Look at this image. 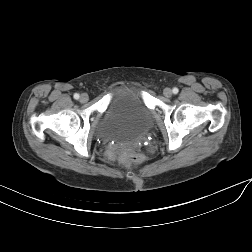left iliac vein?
Masks as SVG:
<instances>
[{
	"instance_id": "obj_1",
	"label": "left iliac vein",
	"mask_w": 252,
	"mask_h": 252,
	"mask_svg": "<svg viewBox=\"0 0 252 252\" xmlns=\"http://www.w3.org/2000/svg\"><path fill=\"white\" fill-rule=\"evenodd\" d=\"M164 96L171 97L172 96V90L170 88H165L163 91Z\"/></svg>"
}]
</instances>
